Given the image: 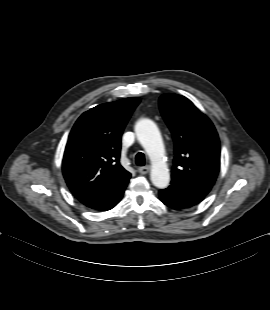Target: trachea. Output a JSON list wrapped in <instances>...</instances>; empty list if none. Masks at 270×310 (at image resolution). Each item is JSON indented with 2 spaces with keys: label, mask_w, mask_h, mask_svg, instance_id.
<instances>
[{
  "label": "trachea",
  "mask_w": 270,
  "mask_h": 310,
  "mask_svg": "<svg viewBox=\"0 0 270 310\" xmlns=\"http://www.w3.org/2000/svg\"><path fill=\"white\" fill-rule=\"evenodd\" d=\"M135 164L137 166H144L145 165V156L143 153L139 152L135 156Z\"/></svg>",
  "instance_id": "3493384b"
}]
</instances>
